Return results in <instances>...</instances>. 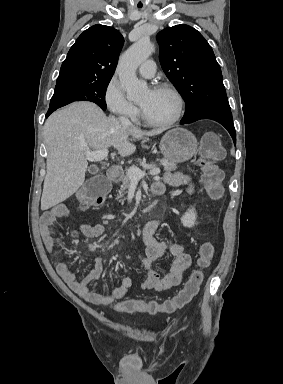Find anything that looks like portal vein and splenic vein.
<instances>
[{"label": "portal vein and splenic vein", "mask_w": 283, "mask_h": 384, "mask_svg": "<svg viewBox=\"0 0 283 384\" xmlns=\"http://www.w3.org/2000/svg\"><path fill=\"white\" fill-rule=\"evenodd\" d=\"M109 152L107 148H103V150H95V152H86V160H89V162H102L104 158H107ZM149 174L151 176H158L160 174L159 168H153V170H150ZM128 176L131 180V182H139L141 178H144L145 172H142V170H139V168H135V166H132V168H129L128 170Z\"/></svg>", "instance_id": "1"}]
</instances>
